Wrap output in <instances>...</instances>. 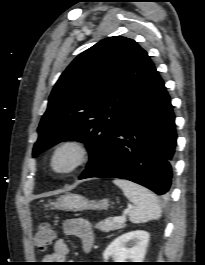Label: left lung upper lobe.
I'll use <instances>...</instances> for the list:
<instances>
[{
	"label": "left lung upper lobe",
	"instance_id": "obj_1",
	"mask_svg": "<svg viewBox=\"0 0 205 265\" xmlns=\"http://www.w3.org/2000/svg\"><path fill=\"white\" fill-rule=\"evenodd\" d=\"M154 68L145 50L121 36L101 40L81 53L50 94L33 157L61 141L77 140L86 144L91 163Z\"/></svg>",
	"mask_w": 205,
	"mask_h": 265
}]
</instances>
